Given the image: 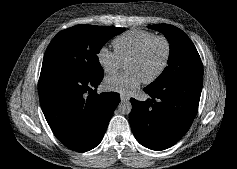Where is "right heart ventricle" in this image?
Returning <instances> with one entry per match:
<instances>
[{"label":"right heart ventricle","mask_w":237,"mask_h":169,"mask_svg":"<svg viewBox=\"0 0 237 169\" xmlns=\"http://www.w3.org/2000/svg\"><path fill=\"white\" fill-rule=\"evenodd\" d=\"M154 35L150 31L134 29L117 36L113 40V45L119 58L125 62L146 40Z\"/></svg>","instance_id":"right-heart-ventricle-1"}]
</instances>
